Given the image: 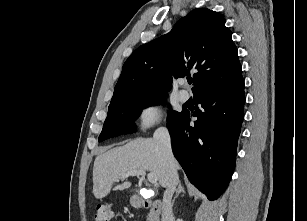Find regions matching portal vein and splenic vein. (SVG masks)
I'll return each mask as SVG.
<instances>
[{
  "mask_svg": "<svg viewBox=\"0 0 307 221\" xmlns=\"http://www.w3.org/2000/svg\"><path fill=\"white\" fill-rule=\"evenodd\" d=\"M146 175V171L145 170H133V171H130V172H127V173H124L121 175V178H127L129 176H144ZM147 179L150 183L152 184H157V177L154 173H148L147 174Z\"/></svg>",
  "mask_w": 307,
  "mask_h": 221,
  "instance_id": "obj_1",
  "label": "portal vein and splenic vein"
}]
</instances>
